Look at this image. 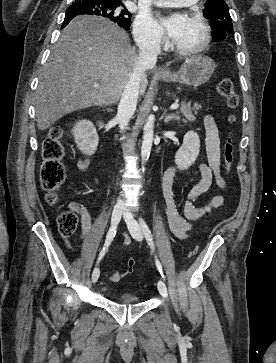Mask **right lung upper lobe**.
I'll use <instances>...</instances> for the list:
<instances>
[{"label": "right lung upper lobe", "instance_id": "obj_1", "mask_svg": "<svg viewBox=\"0 0 276 363\" xmlns=\"http://www.w3.org/2000/svg\"><path fill=\"white\" fill-rule=\"evenodd\" d=\"M104 1H110V2H120V3H122V0H104Z\"/></svg>", "mask_w": 276, "mask_h": 363}]
</instances>
